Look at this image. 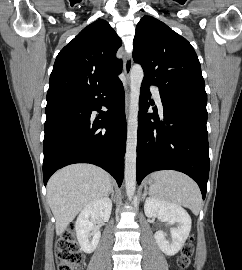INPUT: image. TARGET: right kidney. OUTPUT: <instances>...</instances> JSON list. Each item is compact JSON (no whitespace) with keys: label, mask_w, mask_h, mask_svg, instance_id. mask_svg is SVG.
I'll return each instance as SVG.
<instances>
[{"label":"right kidney","mask_w":242,"mask_h":270,"mask_svg":"<svg viewBox=\"0 0 242 270\" xmlns=\"http://www.w3.org/2000/svg\"><path fill=\"white\" fill-rule=\"evenodd\" d=\"M112 210V202L103 197L93 201L82 209L75 223L77 240L86 253L93 252L100 240L101 233L97 221H108Z\"/></svg>","instance_id":"obj_1"}]
</instances>
